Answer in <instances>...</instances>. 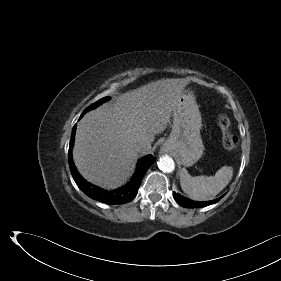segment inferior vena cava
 Returning <instances> with one entry per match:
<instances>
[{"label": "inferior vena cava", "instance_id": "1", "mask_svg": "<svg viewBox=\"0 0 281 281\" xmlns=\"http://www.w3.org/2000/svg\"><path fill=\"white\" fill-rule=\"evenodd\" d=\"M151 149V145L148 143H141L137 146V151L140 153H145Z\"/></svg>", "mask_w": 281, "mask_h": 281}]
</instances>
